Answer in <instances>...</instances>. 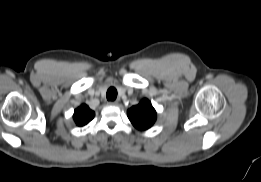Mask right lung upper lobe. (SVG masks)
Returning <instances> with one entry per match:
<instances>
[{
  "instance_id": "1",
  "label": "right lung upper lobe",
  "mask_w": 261,
  "mask_h": 182,
  "mask_svg": "<svg viewBox=\"0 0 261 182\" xmlns=\"http://www.w3.org/2000/svg\"><path fill=\"white\" fill-rule=\"evenodd\" d=\"M94 112L85 104L74 111V120L78 126H84L94 118Z\"/></svg>"
}]
</instances>
